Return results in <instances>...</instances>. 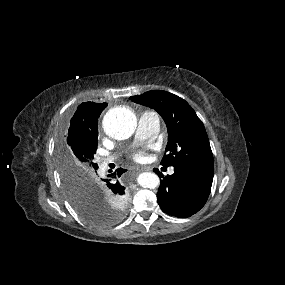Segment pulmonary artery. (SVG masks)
<instances>
[{
    "label": "pulmonary artery",
    "instance_id": "pulmonary-artery-1",
    "mask_svg": "<svg viewBox=\"0 0 285 285\" xmlns=\"http://www.w3.org/2000/svg\"><path fill=\"white\" fill-rule=\"evenodd\" d=\"M160 130V118L157 113L153 111L144 112L138 122L137 138L140 140L153 139ZM112 158H108L105 162H110ZM174 171H169L172 174Z\"/></svg>",
    "mask_w": 285,
    "mask_h": 285
}]
</instances>
